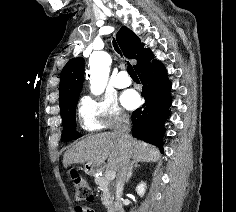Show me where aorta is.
Masks as SVG:
<instances>
[{
    "mask_svg": "<svg viewBox=\"0 0 236 212\" xmlns=\"http://www.w3.org/2000/svg\"><path fill=\"white\" fill-rule=\"evenodd\" d=\"M111 57L106 52L93 53L89 58L90 89L94 95H100L107 84Z\"/></svg>",
    "mask_w": 236,
    "mask_h": 212,
    "instance_id": "1",
    "label": "aorta"
}]
</instances>
